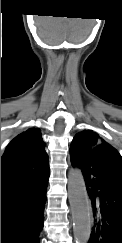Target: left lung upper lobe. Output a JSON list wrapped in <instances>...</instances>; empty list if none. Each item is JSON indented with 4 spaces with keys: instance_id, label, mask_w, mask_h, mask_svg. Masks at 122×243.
I'll list each match as a JSON object with an SVG mask.
<instances>
[{
    "instance_id": "obj_1",
    "label": "left lung upper lobe",
    "mask_w": 122,
    "mask_h": 243,
    "mask_svg": "<svg viewBox=\"0 0 122 243\" xmlns=\"http://www.w3.org/2000/svg\"><path fill=\"white\" fill-rule=\"evenodd\" d=\"M105 148L116 150L97 133L92 130H84L76 134L71 143V163L73 166H77V162L82 157L99 155Z\"/></svg>"
}]
</instances>
